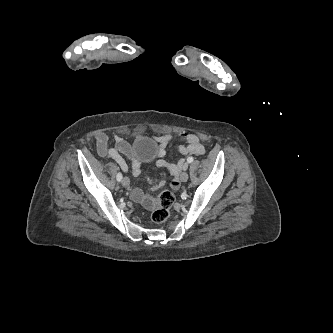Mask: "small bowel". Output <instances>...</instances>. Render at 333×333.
Returning a JSON list of instances; mask_svg holds the SVG:
<instances>
[{
  "instance_id": "small-bowel-1",
  "label": "small bowel",
  "mask_w": 333,
  "mask_h": 333,
  "mask_svg": "<svg viewBox=\"0 0 333 333\" xmlns=\"http://www.w3.org/2000/svg\"><path fill=\"white\" fill-rule=\"evenodd\" d=\"M159 149L157 153L158 160L156 166L158 168H166L172 175L170 186L174 189L178 187V177L186 167L187 159L192 155H202L205 153V147L200 142L197 135L192 133H182L177 136L183 144L178 147V152L184 156L177 163L170 164L163 157L166 154V149L175 139L172 135H159L155 137ZM97 152L101 157H110L117 162L120 168L127 172L131 170L133 176L139 178L142 175L141 160L133 152L131 145L120 136H114V146H109V137L106 133L100 132L96 135ZM133 200L143 203L146 206L154 204L152 195L145 194L140 188H134L131 192Z\"/></svg>"
}]
</instances>
